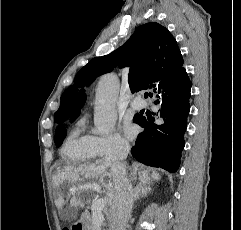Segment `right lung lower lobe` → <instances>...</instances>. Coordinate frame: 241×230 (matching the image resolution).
I'll return each mask as SVG.
<instances>
[{"label": "right lung lower lobe", "instance_id": "98d812e1", "mask_svg": "<svg viewBox=\"0 0 241 230\" xmlns=\"http://www.w3.org/2000/svg\"><path fill=\"white\" fill-rule=\"evenodd\" d=\"M191 81L181 66L164 77L153 89L160 103L159 121L151 116L134 119L144 131L131 149L132 156L139 162L176 172L184 148V133L190 110ZM152 96V95H151Z\"/></svg>", "mask_w": 241, "mask_h": 230}]
</instances>
